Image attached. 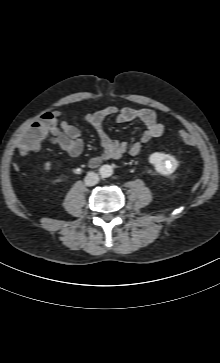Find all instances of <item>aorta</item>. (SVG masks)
<instances>
[{"mask_svg": "<svg viewBox=\"0 0 220 363\" xmlns=\"http://www.w3.org/2000/svg\"><path fill=\"white\" fill-rule=\"evenodd\" d=\"M100 175L102 177H110L113 174V168L111 165H103L100 168Z\"/></svg>", "mask_w": 220, "mask_h": 363, "instance_id": "aorta-1", "label": "aorta"}]
</instances>
